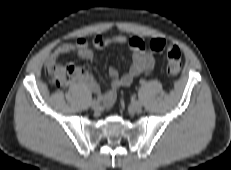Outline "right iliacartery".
<instances>
[{
  "instance_id": "right-iliac-artery-1",
  "label": "right iliac artery",
  "mask_w": 231,
  "mask_h": 170,
  "mask_svg": "<svg viewBox=\"0 0 231 170\" xmlns=\"http://www.w3.org/2000/svg\"><path fill=\"white\" fill-rule=\"evenodd\" d=\"M98 100L100 101V100H101V98H100V97H98Z\"/></svg>"
}]
</instances>
